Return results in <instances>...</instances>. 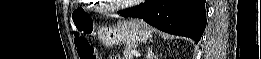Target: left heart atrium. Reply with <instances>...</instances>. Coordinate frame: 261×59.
Returning <instances> with one entry per match:
<instances>
[{"instance_id": "left-heart-atrium-1", "label": "left heart atrium", "mask_w": 261, "mask_h": 59, "mask_svg": "<svg viewBox=\"0 0 261 59\" xmlns=\"http://www.w3.org/2000/svg\"><path fill=\"white\" fill-rule=\"evenodd\" d=\"M127 3H140V2H142V0H127L126 1Z\"/></svg>"}]
</instances>
